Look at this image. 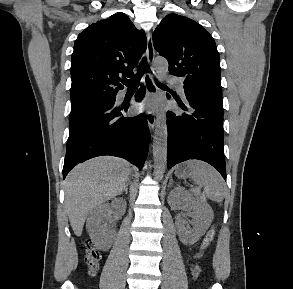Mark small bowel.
I'll use <instances>...</instances> for the list:
<instances>
[{
	"mask_svg": "<svg viewBox=\"0 0 293 289\" xmlns=\"http://www.w3.org/2000/svg\"><path fill=\"white\" fill-rule=\"evenodd\" d=\"M200 256H202L201 253H197V254L194 255V257H200Z\"/></svg>",
	"mask_w": 293,
	"mask_h": 289,
	"instance_id": "c3829d8e",
	"label": "small bowel"
}]
</instances>
